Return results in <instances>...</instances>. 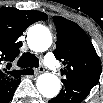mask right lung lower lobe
Instances as JSON below:
<instances>
[{"instance_id": "1", "label": "right lung lower lobe", "mask_w": 103, "mask_h": 103, "mask_svg": "<svg viewBox=\"0 0 103 103\" xmlns=\"http://www.w3.org/2000/svg\"><path fill=\"white\" fill-rule=\"evenodd\" d=\"M20 80L14 82L9 88L0 91V103H8L13 97V94L20 83Z\"/></svg>"}]
</instances>
